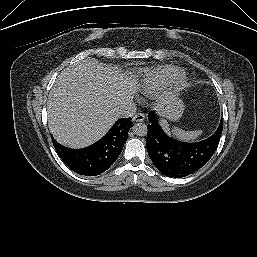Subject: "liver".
<instances>
[{
	"instance_id": "6515ba94",
	"label": "liver",
	"mask_w": 257,
	"mask_h": 257,
	"mask_svg": "<svg viewBox=\"0 0 257 257\" xmlns=\"http://www.w3.org/2000/svg\"><path fill=\"white\" fill-rule=\"evenodd\" d=\"M135 80L94 58L63 70L48 99V124L54 138L82 148L102 138L119 118L117 109L134 97ZM166 96H160L157 106ZM156 106V107H157Z\"/></svg>"
}]
</instances>
